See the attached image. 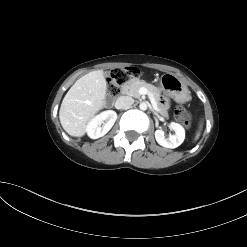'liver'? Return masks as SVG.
<instances>
[{
    "label": "liver",
    "mask_w": 247,
    "mask_h": 247,
    "mask_svg": "<svg viewBox=\"0 0 247 247\" xmlns=\"http://www.w3.org/2000/svg\"><path fill=\"white\" fill-rule=\"evenodd\" d=\"M107 84L103 70L92 71L79 78L65 95L59 119L71 136L82 137L87 123L105 107Z\"/></svg>",
    "instance_id": "liver-1"
}]
</instances>
